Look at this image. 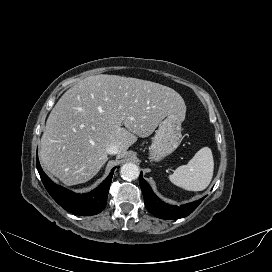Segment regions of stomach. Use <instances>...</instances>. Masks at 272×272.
<instances>
[{
  "instance_id": "0dacf381",
  "label": "stomach",
  "mask_w": 272,
  "mask_h": 272,
  "mask_svg": "<svg viewBox=\"0 0 272 272\" xmlns=\"http://www.w3.org/2000/svg\"><path fill=\"white\" fill-rule=\"evenodd\" d=\"M183 119L178 114H169L159 124L150 146V158L160 161L171 154L180 144Z\"/></svg>"
}]
</instances>
